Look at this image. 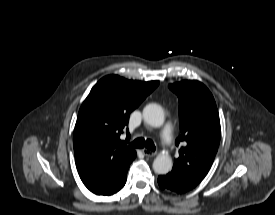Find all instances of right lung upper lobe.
<instances>
[{
  "label": "right lung upper lobe",
  "instance_id": "obj_1",
  "mask_svg": "<svg viewBox=\"0 0 275 215\" xmlns=\"http://www.w3.org/2000/svg\"><path fill=\"white\" fill-rule=\"evenodd\" d=\"M159 85L117 75L103 77L83 102L73 135L75 162L81 180L102 169L121 166L136 156L120 140L130 113ZM128 131V130H127Z\"/></svg>",
  "mask_w": 275,
  "mask_h": 215
}]
</instances>
